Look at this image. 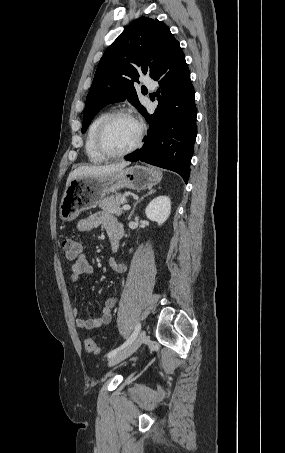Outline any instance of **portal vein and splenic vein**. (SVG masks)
Returning a JSON list of instances; mask_svg holds the SVG:
<instances>
[{
    "label": "portal vein and splenic vein",
    "mask_w": 285,
    "mask_h": 453,
    "mask_svg": "<svg viewBox=\"0 0 285 453\" xmlns=\"http://www.w3.org/2000/svg\"><path fill=\"white\" fill-rule=\"evenodd\" d=\"M131 207L128 204L123 205L122 209L123 210H129Z\"/></svg>",
    "instance_id": "18ae733b"
}]
</instances>
